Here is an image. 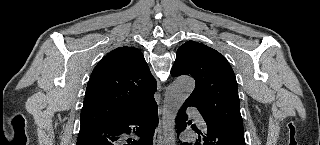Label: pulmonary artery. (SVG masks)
Segmentation results:
<instances>
[{"label": "pulmonary artery", "instance_id": "1", "mask_svg": "<svg viewBox=\"0 0 320 145\" xmlns=\"http://www.w3.org/2000/svg\"><path fill=\"white\" fill-rule=\"evenodd\" d=\"M187 113L191 115L194 120L200 125L202 128L206 127V123L202 117V115L197 111L196 108H188Z\"/></svg>", "mask_w": 320, "mask_h": 145}]
</instances>
